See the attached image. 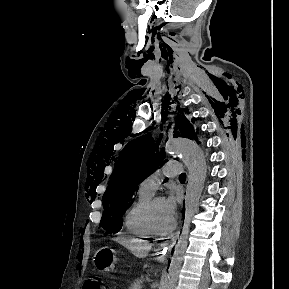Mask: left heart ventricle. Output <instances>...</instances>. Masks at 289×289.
I'll return each mask as SVG.
<instances>
[{"mask_svg":"<svg viewBox=\"0 0 289 289\" xmlns=\"http://www.w3.org/2000/svg\"><path fill=\"white\" fill-rule=\"evenodd\" d=\"M153 219L155 225L160 229L167 228L173 219H171L165 209L164 199H159L153 206Z\"/></svg>","mask_w":289,"mask_h":289,"instance_id":"1","label":"left heart ventricle"}]
</instances>
